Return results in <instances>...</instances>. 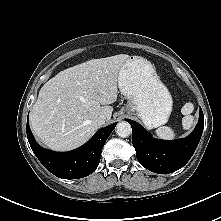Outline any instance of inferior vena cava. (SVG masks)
<instances>
[{
	"mask_svg": "<svg viewBox=\"0 0 221 221\" xmlns=\"http://www.w3.org/2000/svg\"><path fill=\"white\" fill-rule=\"evenodd\" d=\"M97 123L100 124V125H103L105 123V116L104 115H100L97 118Z\"/></svg>",
	"mask_w": 221,
	"mask_h": 221,
	"instance_id": "602c4592",
	"label": "inferior vena cava"
}]
</instances>
